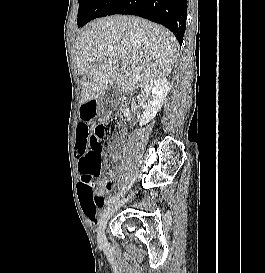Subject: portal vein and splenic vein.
<instances>
[{
  "mask_svg": "<svg viewBox=\"0 0 265 273\" xmlns=\"http://www.w3.org/2000/svg\"><path fill=\"white\" fill-rule=\"evenodd\" d=\"M120 66L122 69H126L127 68V64L125 62H121Z\"/></svg>",
  "mask_w": 265,
  "mask_h": 273,
  "instance_id": "portal-vein-and-splenic-vein-1",
  "label": "portal vein and splenic vein"
}]
</instances>
